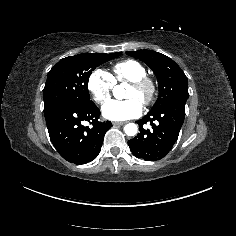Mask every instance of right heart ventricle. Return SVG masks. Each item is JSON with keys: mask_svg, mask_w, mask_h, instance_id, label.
Returning a JSON list of instances; mask_svg holds the SVG:
<instances>
[{"mask_svg": "<svg viewBox=\"0 0 236 236\" xmlns=\"http://www.w3.org/2000/svg\"><path fill=\"white\" fill-rule=\"evenodd\" d=\"M113 80L116 83H127L135 78L146 75V69L137 60L126 59L116 63L113 68Z\"/></svg>", "mask_w": 236, "mask_h": 236, "instance_id": "e07e8e85", "label": "right heart ventricle"}]
</instances>
